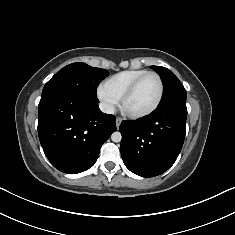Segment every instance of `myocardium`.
I'll return each mask as SVG.
<instances>
[{"label": "myocardium", "mask_w": 235, "mask_h": 235, "mask_svg": "<svg viewBox=\"0 0 235 235\" xmlns=\"http://www.w3.org/2000/svg\"><path fill=\"white\" fill-rule=\"evenodd\" d=\"M151 75L155 76L159 82V95H158L156 102L149 109L142 111V112L128 111L125 107L126 101L133 95V93L135 92L136 88L141 83V81L144 78H146L147 76H151ZM163 96H164V83H163L161 76L154 71H148V72L144 73L143 75L139 76L137 79H135L131 83V85L127 88V90L124 92V94L121 97V108L128 116H130L132 118L146 117L158 109V107L160 106V104L162 102Z\"/></svg>", "instance_id": "obj_1"}]
</instances>
